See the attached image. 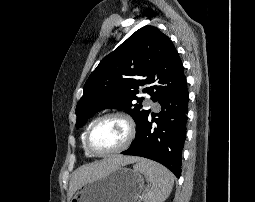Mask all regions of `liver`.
<instances>
[{
  "mask_svg": "<svg viewBox=\"0 0 255 202\" xmlns=\"http://www.w3.org/2000/svg\"><path fill=\"white\" fill-rule=\"evenodd\" d=\"M138 160L139 158L133 156L114 155L101 161L79 167L72 175L69 185V197L84 183Z\"/></svg>",
  "mask_w": 255,
  "mask_h": 202,
  "instance_id": "liver-1",
  "label": "liver"
}]
</instances>
